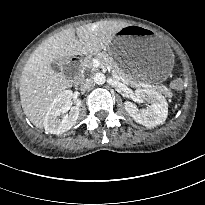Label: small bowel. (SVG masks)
<instances>
[{
  "label": "small bowel",
  "instance_id": "small-bowel-1",
  "mask_svg": "<svg viewBox=\"0 0 205 205\" xmlns=\"http://www.w3.org/2000/svg\"><path fill=\"white\" fill-rule=\"evenodd\" d=\"M173 86H174L175 88H178V87H179V83H178V82H175V83L173 84Z\"/></svg>",
  "mask_w": 205,
  "mask_h": 205
}]
</instances>
